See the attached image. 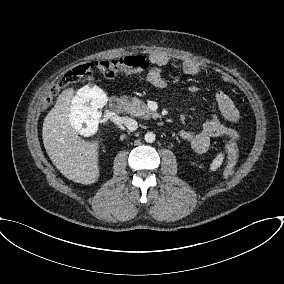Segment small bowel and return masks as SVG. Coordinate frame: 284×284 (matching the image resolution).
I'll return each instance as SVG.
<instances>
[{"label":"small bowel","mask_w":284,"mask_h":284,"mask_svg":"<svg viewBox=\"0 0 284 284\" xmlns=\"http://www.w3.org/2000/svg\"><path fill=\"white\" fill-rule=\"evenodd\" d=\"M150 61L152 67L145 76L146 81L157 88L165 87L166 81L162 77V68L169 63L170 57L164 52L154 51L150 54ZM182 68L183 71L190 76H197L203 72L201 65L193 60H184L182 62ZM223 80L229 82L228 78H223ZM190 90L196 92L197 88L192 87ZM214 99L223 118L231 124H237L240 115L232 99L220 89L215 91ZM230 134L234 135L236 140L239 139L237 131L221 124L218 113L213 112L206 119L199 132L194 133L183 130L179 133V136L181 139L190 142L194 152L205 154L210 149L212 139L224 136L228 137Z\"/></svg>","instance_id":"obj_1"}]
</instances>
